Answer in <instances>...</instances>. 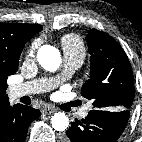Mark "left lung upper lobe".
<instances>
[{
    "instance_id": "left-lung-upper-lobe-1",
    "label": "left lung upper lobe",
    "mask_w": 142,
    "mask_h": 142,
    "mask_svg": "<svg viewBox=\"0 0 142 142\" xmlns=\"http://www.w3.org/2000/svg\"><path fill=\"white\" fill-rule=\"evenodd\" d=\"M87 44L90 77L82 86V96L93 100L94 109L129 110L134 99V78L124 50L113 37L97 29L90 30Z\"/></svg>"
}]
</instances>
